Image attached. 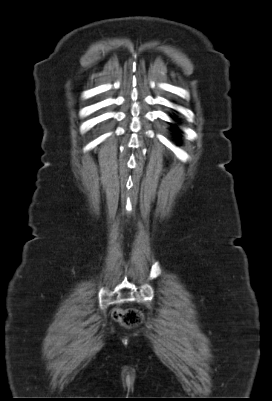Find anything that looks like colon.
<instances>
[{
    "mask_svg": "<svg viewBox=\"0 0 272 401\" xmlns=\"http://www.w3.org/2000/svg\"><path fill=\"white\" fill-rule=\"evenodd\" d=\"M113 317L125 327L137 326L142 319L141 313L137 309H116L113 312Z\"/></svg>",
    "mask_w": 272,
    "mask_h": 401,
    "instance_id": "obj_1",
    "label": "colon"
}]
</instances>
